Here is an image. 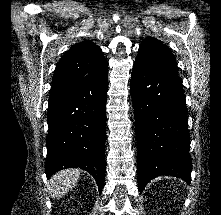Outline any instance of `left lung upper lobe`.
Masks as SVG:
<instances>
[{
    "label": "left lung upper lobe",
    "instance_id": "1",
    "mask_svg": "<svg viewBox=\"0 0 221 215\" xmlns=\"http://www.w3.org/2000/svg\"><path fill=\"white\" fill-rule=\"evenodd\" d=\"M135 62L179 76L172 52L160 40L153 37H148L141 43Z\"/></svg>",
    "mask_w": 221,
    "mask_h": 215
}]
</instances>
